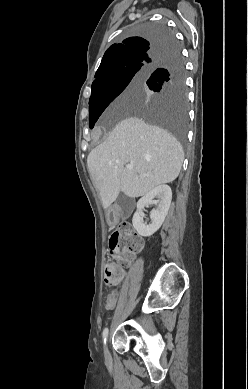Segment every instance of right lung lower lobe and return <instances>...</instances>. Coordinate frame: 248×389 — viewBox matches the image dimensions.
I'll list each match as a JSON object with an SVG mask.
<instances>
[{
	"label": "right lung lower lobe",
	"mask_w": 248,
	"mask_h": 389,
	"mask_svg": "<svg viewBox=\"0 0 248 389\" xmlns=\"http://www.w3.org/2000/svg\"><path fill=\"white\" fill-rule=\"evenodd\" d=\"M171 40H168V39H157V40H155V41H153V42H156V43H164L165 44V46L167 45V46H170L171 48L169 49V50H171V49H173L175 46H177V44H176V42H175V40H174V43H168V42H170ZM166 72H165V70H163V69H160V70H158V69H156L155 71H153L152 72V74H151V76H155V75H164Z\"/></svg>",
	"instance_id": "right-lung-lower-lobe-1"
}]
</instances>
